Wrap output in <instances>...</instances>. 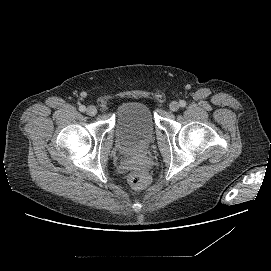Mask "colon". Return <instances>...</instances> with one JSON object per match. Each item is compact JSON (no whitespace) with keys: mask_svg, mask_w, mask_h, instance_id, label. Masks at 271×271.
Wrapping results in <instances>:
<instances>
[{"mask_svg":"<svg viewBox=\"0 0 271 271\" xmlns=\"http://www.w3.org/2000/svg\"><path fill=\"white\" fill-rule=\"evenodd\" d=\"M128 181L132 187L144 189L150 183V177L144 170L138 169L130 173Z\"/></svg>","mask_w":271,"mask_h":271,"instance_id":"1","label":"colon"}]
</instances>
